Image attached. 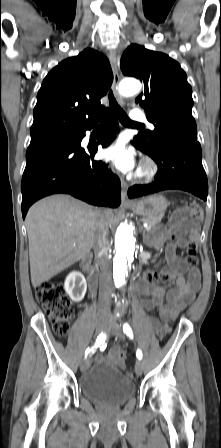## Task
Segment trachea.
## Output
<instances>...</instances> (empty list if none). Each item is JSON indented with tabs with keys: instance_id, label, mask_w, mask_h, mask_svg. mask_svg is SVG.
Returning <instances> with one entry per match:
<instances>
[{
	"instance_id": "1",
	"label": "trachea",
	"mask_w": 221,
	"mask_h": 448,
	"mask_svg": "<svg viewBox=\"0 0 221 448\" xmlns=\"http://www.w3.org/2000/svg\"><path fill=\"white\" fill-rule=\"evenodd\" d=\"M108 99L110 107L123 125L130 127H141L140 124L131 121L124 110L118 105L116 99L114 98L112 90H110L108 94Z\"/></svg>"
}]
</instances>
